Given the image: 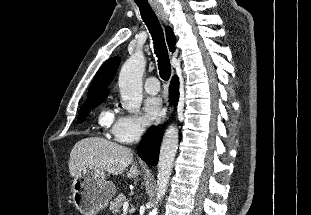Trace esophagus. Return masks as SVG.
<instances>
[{
  "instance_id": "esophagus-1",
  "label": "esophagus",
  "mask_w": 311,
  "mask_h": 215,
  "mask_svg": "<svg viewBox=\"0 0 311 215\" xmlns=\"http://www.w3.org/2000/svg\"><path fill=\"white\" fill-rule=\"evenodd\" d=\"M155 12L158 14V16L164 21H167L168 15L166 14V12L164 11L163 7L161 5L155 6L154 7ZM169 110V111H168ZM172 111V107H167L164 109V111L162 112V114L159 116V118L156 121V125L161 124L162 122L165 121L166 117H167V113Z\"/></svg>"
}]
</instances>
